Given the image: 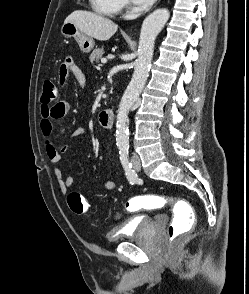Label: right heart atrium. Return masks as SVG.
Returning <instances> with one entry per match:
<instances>
[{"label": "right heart atrium", "instance_id": "1", "mask_svg": "<svg viewBox=\"0 0 249 294\" xmlns=\"http://www.w3.org/2000/svg\"><path fill=\"white\" fill-rule=\"evenodd\" d=\"M118 1H119L120 10L127 8L128 6L127 0H118Z\"/></svg>", "mask_w": 249, "mask_h": 294}]
</instances>
